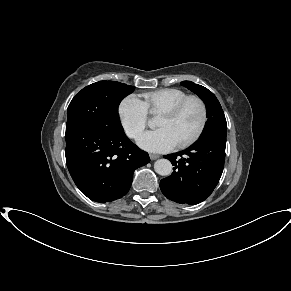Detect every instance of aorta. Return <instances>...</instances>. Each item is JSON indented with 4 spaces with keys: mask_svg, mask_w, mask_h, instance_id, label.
Instances as JSON below:
<instances>
[{
    "mask_svg": "<svg viewBox=\"0 0 291 291\" xmlns=\"http://www.w3.org/2000/svg\"><path fill=\"white\" fill-rule=\"evenodd\" d=\"M154 169L161 176H169L173 171V166L169 160L159 159L154 163Z\"/></svg>",
    "mask_w": 291,
    "mask_h": 291,
    "instance_id": "1",
    "label": "aorta"
}]
</instances>
